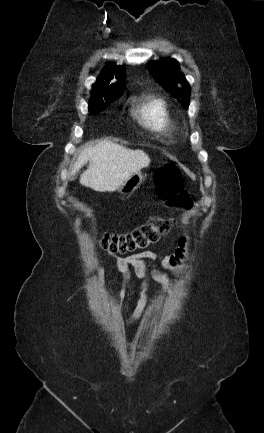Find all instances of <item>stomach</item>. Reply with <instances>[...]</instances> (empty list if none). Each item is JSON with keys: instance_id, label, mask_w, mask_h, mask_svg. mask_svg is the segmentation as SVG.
<instances>
[{"instance_id": "stomach-1", "label": "stomach", "mask_w": 264, "mask_h": 433, "mask_svg": "<svg viewBox=\"0 0 264 433\" xmlns=\"http://www.w3.org/2000/svg\"><path fill=\"white\" fill-rule=\"evenodd\" d=\"M143 179L142 173L136 172L132 174L123 184H121L118 188V191L122 194H129L134 192L139 185L141 184Z\"/></svg>"}]
</instances>
